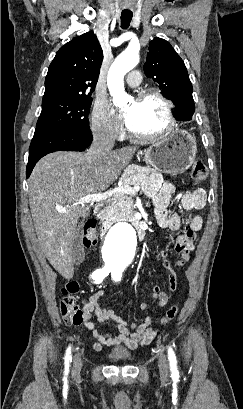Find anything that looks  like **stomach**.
I'll list each match as a JSON object with an SVG mask.
<instances>
[{
  "instance_id": "obj_1",
  "label": "stomach",
  "mask_w": 243,
  "mask_h": 409,
  "mask_svg": "<svg viewBox=\"0 0 243 409\" xmlns=\"http://www.w3.org/2000/svg\"><path fill=\"white\" fill-rule=\"evenodd\" d=\"M195 138L184 130H174L143 152L146 164L154 170L176 175L187 170L195 160Z\"/></svg>"
}]
</instances>
